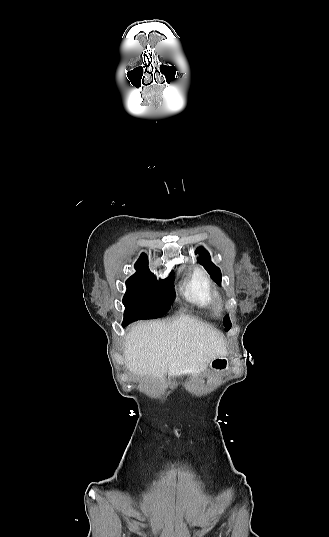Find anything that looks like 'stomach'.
<instances>
[{"mask_svg": "<svg viewBox=\"0 0 329 537\" xmlns=\"http://www.w3.org/2000/svg\"><path fill=\"white\" fill-rule=\"evenodd\" d=\"M208 368L223 372L228 368V358L226 356L217 357L209 363Z\"/></svg>", "mask_w": 329, "mask_h": 537, "instance_id": "obj_1", "label": "stomach"}]
</instances>
